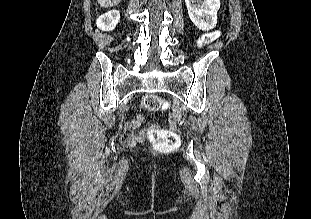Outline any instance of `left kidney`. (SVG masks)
<instances>
[{"label": "left kidney", "instance_id": "left-kidney-1", "mask_svg": "<svg viewBox=\"0 0 311 219\" xmlns=\"http://www.w3.org/2000/svg\"><path fill=\"white\" fill-rule=\"evenodd\" d=\"M185 3L191 21L199 29L209 31L216 26L220 0H185Z\"/></svg>", "mask_w": 311, "mask_h": 219}]
</instances>
